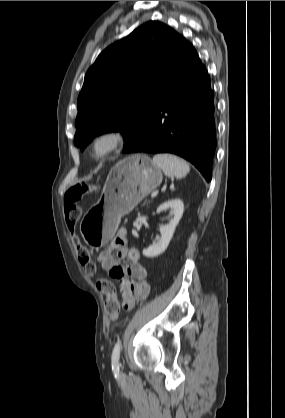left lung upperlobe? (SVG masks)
I'll return each mask as SVG.
<instances>
[{
    "mask_svg": "<svg viewBox=\"0 0 285 418\" xmlns=\"http://www.w3.org/2000/svg\"><path fill=\"white\" fill-rule=\"evenodd\" d=\"M184 40L149 21L106 48L85 75L74 144L83 150L95 136L120 131L127 152L142 135Z\"/></svg>",
    "mask_w": 285,
    "mask_h": 418,
    "instance_id": "5c2ea615",
    "label": "left lung upper lobe"
}]
</instances>
